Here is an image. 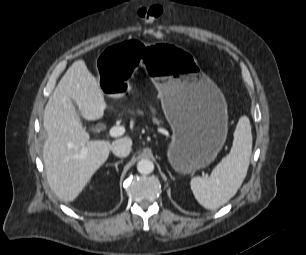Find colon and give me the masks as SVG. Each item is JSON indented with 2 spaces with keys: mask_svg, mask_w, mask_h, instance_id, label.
I'll list each match as a JSON object with an SVG mask.
<instances>
[{
  "mask_svg": "<svg viewBox=\"0 0 306 255\" xmlns=\"http://www.w3.org/2000/svg\"><path fill=\"white\" fill-rule=\"evenodd\" d=\"M163 8L160 5H151L140 10V16L148 25V31L155 37H160L161 32L153 26V23L162 15Z\"/></svg>",
  "mask_w": 306,
  "mask_h": 255,
  "instance_id": "colon-1",
  "label": "colon"
}]
</instances>
